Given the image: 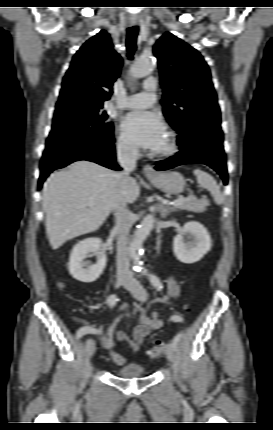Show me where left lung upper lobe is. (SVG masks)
Masks as SVG:
<instances>
[{
    "label": "left lung upper lobe",
    "instance_id": "1",
    "mask_svg": "<svg viewBox=\"0 0 273 430\" xmlns=\"http://www.w3.org/2000/svg\"><path fill=\"white\" fill-rule=\"evenodd\" d=\"M163 88V113L179 133L202 120L220 122V108L207 63L201 54L171 33L154 46Z\"/></svg>",
    "mask_w": 273,
    "mask_h": 430
}]
</instances>
